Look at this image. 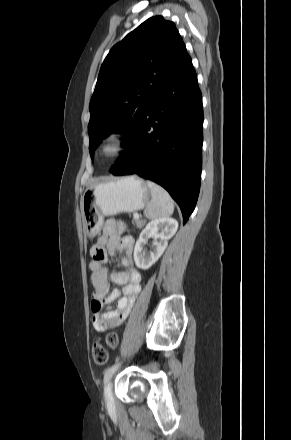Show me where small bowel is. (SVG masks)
<instances>
[{"instance_id": "small-bowel-1", "label": "small bowel", "mask_w": 291, "mask_h": 440, "mask_svg": "<svg viewBox=\"0 0 291 440\" xmlns=\"http://www.w3.org/2000/svg\"><path fill=\"white\" fill-rule=\"evenodd\" d=\"M134 243L132 236H122L121 229L113 221H108L104 225L102 235L90 250L89 269L94 289L91 303L92 321L95 330L99 333L103 334L121 325L130 313L140 292L141 276L133 268L131 258ZM107 250L119 255L121 266L120 271L110 274V280L114 284L120 285L121 288H115L109 294L108 272L103 266V262L107 258ZM117 299L116 308L103 309L104 304L112 303ZM104 320L107 321L106 324L103 323Z\"/></svg>"}]
</instances>
